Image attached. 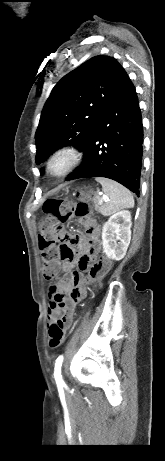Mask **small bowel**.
Masks as SVG:
<instances>
[{"label": "small bowel", "mask_w": 165, "mask_h": 461, "mask_svg": "<svg viewBox=\"0 0 165 461\" xmlns=\"http://www.w3.org/2000/svg\"><path fill=\"white\" fill-rule=\"evenodd\" d=\"M80 223L86 228L85 234H70L66 237V245L72 250L59 251L60 261H55L56 272L63 271L64 276L58 282L49 287L51 302L48 306V319L54 320L61 313L64 327H69L73 321L77 303L82 300L87 292V279L80 272H72L78 265L81 270L88 271L89 279L104 275L108 269H100L92 261L100 250V230L94 220L80 219ZM86 240V241H85Z\"/></svg>", "instance_id": "obj_1"}]
</instances>
